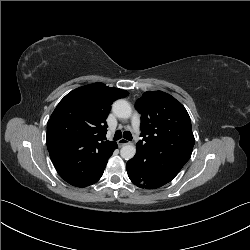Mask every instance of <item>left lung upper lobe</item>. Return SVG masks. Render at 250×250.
Returning a JSON list of instances; mask_svg holds the SVG:
<instances>
[{"label": "left lung upper lobe", "mask_w": 250, "mask_h": 250, "mask_svg": "<svg viewBox=\"0 0 250 250\" xmlns=\"http://www.w3.org/2000/svg\"><path fill=\"white\" fill-rule=\"evenodd\" d=\"M143 140L136 149L156 163L181 169L190 159L195 139L185 107L162 91H147L136 101Z\"/></svg>", "instance_id": "1"}]
</instances>
